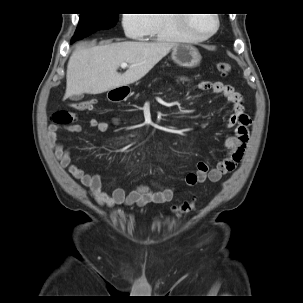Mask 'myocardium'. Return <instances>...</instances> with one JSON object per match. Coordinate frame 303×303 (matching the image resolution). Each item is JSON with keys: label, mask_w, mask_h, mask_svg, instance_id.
<instances>
[{"label": "myocardium", "mask_w": 303, "mask_h": 303, "mask_svg": "<svg viewBox=\"0 0 303 303\" xmlns=\"http://www.w3.org/2000/svg\"><path fill=\"white\" fill-rule=\"evenodd\" d=\"M180 15L182 16V22H183L184 28L189 35V39H191V40H207L216 34V32L218 31L219 26H220L219 15L211 14L215 21L214 28L206 34H197V33H194L190 27V24L192 21V15H189V14H180Z\"/></svg>", "instance_id": "1"}]
</instances>
